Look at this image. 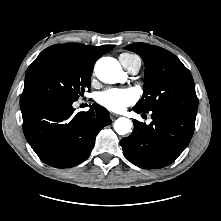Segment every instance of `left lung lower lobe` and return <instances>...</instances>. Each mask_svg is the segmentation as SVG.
<instances>
[{
	"label": "left lung lower lobe",
	"mask_w": 221,
	"mask_h": 221,
	"mask_svg": "<svg viewBox=\"0 0 221 221\" xmlns=\"http://www.w3.org/2000/svg\"><path fill=\"white\" fill-rule=\"evenodd\" d=\"M133 109L137 113H145ZM151 113V124L134 120L132 134L120 142L124 156L145 169L171 164L189 144L196 119L194 113L173 108L156 109Z\"/></svg>",
	"instance_id": "left-lung-lower-lobe-1"
}]
</instances>
